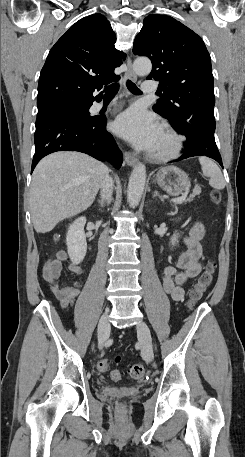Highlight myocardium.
<instances>
[{
	"label": "myocardium",
	"instance_id": "obj_1",
	"mask_svg": "<svg viewBox=\"0 0 245 457\" xmlns=\"http://www.w3.org/2000/svg\"><path fill=\"white\" fill-rule=\"evenodd\" d=\"M162 136L169 140V143L160 147H154L150 151V157L154 160H168L179 155L183 140L171 128L165 126L161 132Z\"/></svg>",
	"mask_w": 245,
	"mask_h": 457
}]
</instances>
